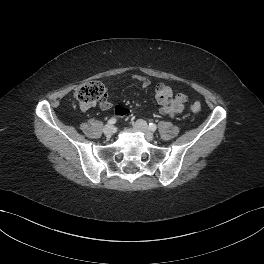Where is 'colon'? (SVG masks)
I'll return each instance as SVG.
<instances>
[{"label": "colon", "instance_id": "5ec220e1", "mask_svg": "<svg viewBox=\"0 0 264 264\" xmlns=\"http://www.w3.org/2000/svg\"><path fill=\"white\" fill-rule=\"evenodd\" d=\"M107 94L106 87L98 81H90L75 90V98L81 106L90 107L96 102H101ZM191 110L198 113L201 110L199 102L191 105Z\"/></svg>", "mask_w": 264, "mask_h": 264}]
</instances>
